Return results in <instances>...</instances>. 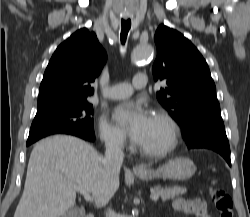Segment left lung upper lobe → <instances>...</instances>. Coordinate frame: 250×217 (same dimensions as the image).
<instances>
[{"label": "left lung upper lobe", "instance_id": "left-lung-upper-lobe-1", "mask_svg": "<svg viewBox=\"0 0 250 217\" xmlns=\"http://www.w3.org/2000/svg\"><path fill=\"white\" fill-rule=\"evenodd\" d=\"M157 57L152 71L163 81L156 96L161 105L188 134L196 124L220 115L215 84L197 48L178 31L160 25L154 37Z\"/></svg>", "mask_w": 250, "mask_h": 217}]
</instances>
